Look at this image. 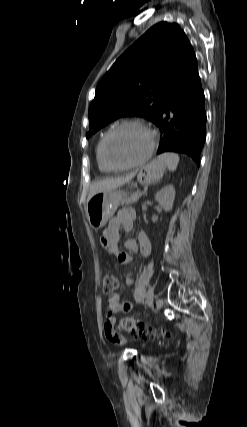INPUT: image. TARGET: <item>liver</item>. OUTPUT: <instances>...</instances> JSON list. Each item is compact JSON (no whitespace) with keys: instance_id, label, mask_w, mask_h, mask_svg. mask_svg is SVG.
<instances>
[{"instance_id":"obj_1","label":"liver","mask_w":247,"mask_h":427,"mask_svg":"<svg viewBox=\"0 0 247 427\" xmlns=\"http://www.w3.org/2000/svg\"><path fill=\"white\" fill-rule=\"evenodd\" d=\"M135 176V173L129 174L125 177H119V178H109L105 180H100L97 182H94L89 190V195L87 198V202L98 192L104 191V190H112L116 189L126 182H129L133 177Z\"/></svg>"}]
</instances>
